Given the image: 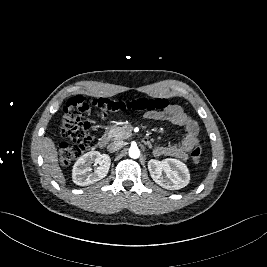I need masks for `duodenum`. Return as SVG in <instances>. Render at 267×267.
Instances as JSON below:
<instances>
[{
    "label": "duodenum",
    "mask_w": 267,
    "mask_h": 267,
    "mask_svg": "<svg viewBox=\"0 0 267 267\" xmlns=\"http://www.w3.org/2000/svg\"><path fill=\"white\" fill-rule=\"evenodd\" d=\"M144 143L147 144L148 143V138H144ZM109 143V139L107 137H103L99 140L98 142V146L99 148L103 149L105 148Z\"/></svg>",
    "instance_id": "duodenum-1"
}]
</instances>
